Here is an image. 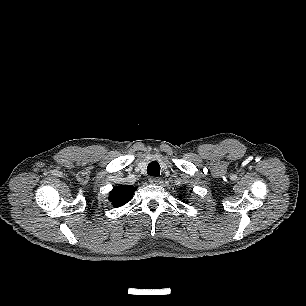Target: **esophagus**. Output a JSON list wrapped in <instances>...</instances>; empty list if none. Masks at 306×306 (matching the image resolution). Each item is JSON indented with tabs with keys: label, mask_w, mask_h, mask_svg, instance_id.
<instances>
[{
	"label": "esophagus",
	"mask_w": 306,
	"mask_h": 306,
	"mask_svg": "<svg viewBox=\"0 0 306 306\" xmlns=\"http://www.w3.org/2000/svg\"><path fill=\"white\" fill-rule=\"evenodd\" d=\"M149 182H150L151 184L156 185V184H159L160 179H159L158 177H150V178H149Z\"/></svg>",
	"instance_id": "obj_1"
}]
</instances>
